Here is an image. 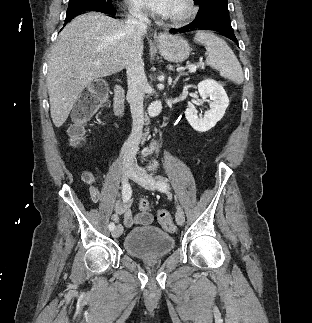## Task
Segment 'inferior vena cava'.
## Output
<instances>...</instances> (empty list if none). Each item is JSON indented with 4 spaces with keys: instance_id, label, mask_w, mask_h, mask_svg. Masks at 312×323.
Returning a JSON list of instances; mask_svg holds the SVG:
<instances>
[{
    "instance_id": "obj_1",
    "label": "inferior vena cava",
    "mask_w": 312,
    "mask_h": 323,
    "mask_svg": "<svg viewBox=\"0 0 312 323\" xmlns=\"http://www.w3.org/2000/svg\"><path fill=\"white\" fill-rule=\"evenodd\" d=\"M149 20L147 14L140 10H131L130 16L126 18L124 28L126 34L131 36L132 50L126 66L128 80V100L132 114L131 134L124 144L128 152H137L142 138L144 126V94L147 88V80L144 72V62L142 60L143 40L146 34Z\"/></svg>"
}]
</instances>
